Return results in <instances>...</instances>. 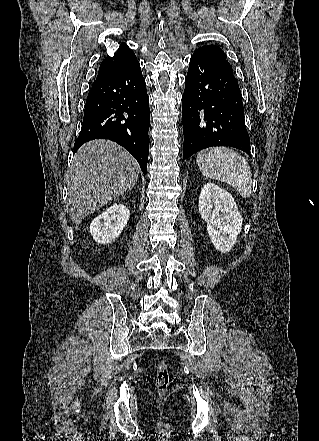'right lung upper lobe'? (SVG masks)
Wrapping results in <instances>:
<instances>
[{
  "label": "right lung upper lobe",
  "mask_w": 319,
  "mask_h": 441,
  "mask_svg": "<svg viewBox=\"0 0 319 441\" xmlns=\"http://www.w3.org/2000/svg\"><path fill=\"white\" fill-rule=\"evenodd\" d=\"M136 62L137 59L134 52L126 45V43H121L113 57H106L103 59L96 80L114 74Z\"/></svg>",
  "instance_id": "obj_1"
}]
</instances>
